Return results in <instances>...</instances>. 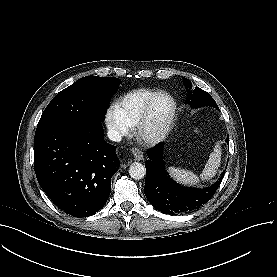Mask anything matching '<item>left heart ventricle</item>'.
<instances>
[{"label":"left heart ventricle","instance_id":"b2bd125f","mask_svg":"<svg viewBox=\"0 0 277 277\" xmlns=\"http://www.w3.org/2000/svg\"><path fill=\"white\" fill-rule=\"evenodd\" d=\"M170 110V102L164 97H158L152 107L151 120L148 125V131L156 130L158 127H160L167 119Z\"/></svg>","mask_w":277,"mask_h":277}]
</instances>
